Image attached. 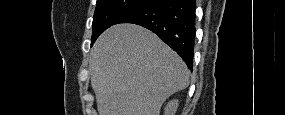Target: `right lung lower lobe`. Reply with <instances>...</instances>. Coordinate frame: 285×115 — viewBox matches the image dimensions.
Masks as SVG:
<instances>
[{"instance_id": "obj_1", "label": "right lung lower lobe", "mask_w": 285, "mask_h": 115, "mask_svg": "<svg viewBox=\"0 0 285 115\" xmlns=\"http://www.w3.org/2000/svg\"><path fill=\"white\" fill-rule=\"evenodd\" d=\"M195 0H150L116 24L141 25L175 50L192 70L195 42Z\"/></svg>"}]
</instances>
